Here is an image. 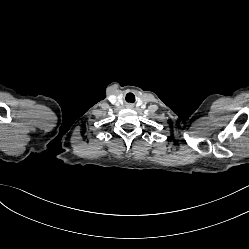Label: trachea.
I'll return each instance as SVG.
<instances>
[{"instance_id": "obj_1", "label": "trachea", "mask_w": 249, "mask_h": 249, "mask_svg": "<svg viewBox=\"0 0 249 249\" xmlns=\"http://www.w3.org/2000/svg\"><path fill=\"white\" fill-rule=\"evenodd\" d=\"M126 99L128 100V102L133 103L134 100H135V96H134L132 93H128V94L126 95Z\"/></svg>"}]
</instances>
